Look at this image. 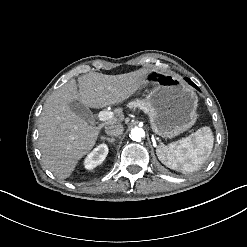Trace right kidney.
<instances>
[{"mask_svg": "<svg viewBox=\"0 0 247 247\" xmlns=\"http://www.w3.org/2000/svg\"><path fill=\"white\" fill-rule=\"evenodd\" d=\"M109 147L105 143H101L94 147L83 159L82 166L84 170L91 171L100 166L106 159Z\"/></svg>", "mask_w": 247, "mask_h": 247, "instance_id": "obj_1", "label": "right kidney"}]
</instances>
